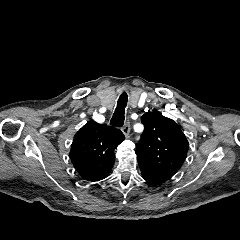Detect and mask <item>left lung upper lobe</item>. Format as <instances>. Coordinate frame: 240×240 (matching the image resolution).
<instances>
[{
    "label": "left lung upper lobe",
    "instance_id": "5c2ea615",
    "mask_svg": "<svg viewBox=\"0 0 240 240\" xmlns=\"http://www.w3.org/2000/svg\"><path fill=\"white\" fill-rule=\"evenodd\" d=\"M144 132L137 144L140 168L171 179L186 159L189 143L180 127L160 112H148L141 118Z\"/></svg>",
    "mask_w": 240,
    "mask_h": 240
}]
</instances>
